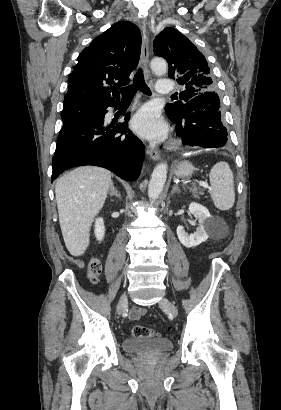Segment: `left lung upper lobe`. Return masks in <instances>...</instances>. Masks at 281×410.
<instances>
[{"instance_id": "5c2ea615", "label": "left lung upper lobe", "mask_w": 281, "mask_h": 410, "mask_svg": "<svg viewBox=\"0 0 281 410\" xmlns=\"http://www.w3.org/2000/svg\"><path fill=\"white\" fill-rule=\"evenodd\" d=\"M153 47L155 55L167 60L169 77L183 85L179 93L181 101L165 106L170 119H181L187 102L194 97L216 93L215 81L204 55L182 33L165 28L156 36Z\"/></svg>"}]
</instances>
